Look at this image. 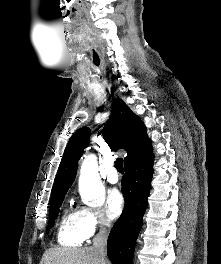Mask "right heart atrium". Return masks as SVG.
Instances as JSON below:
<instances>
[{"label": "right heart atrium", "mask_w": 221, "mask_h": 264, "mask_svg": "<svg viewBox=\"0 0 221 264\" xmlns=\"http://www.w3.org/2000/svg\"><path fill=\"white\" fill-rule=\"evenodd\" d=\"M77 215L86 239L97 232H104L110 226V221L99 208L80 206L77 209Z\"/></svg>", "instance_id": "1"}]
</instances>
